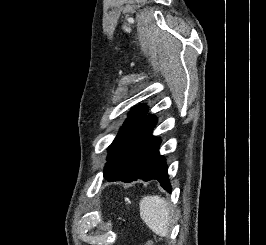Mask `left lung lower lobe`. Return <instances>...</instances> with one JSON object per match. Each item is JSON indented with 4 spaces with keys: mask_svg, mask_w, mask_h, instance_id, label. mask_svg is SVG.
I'll return each instance as SVG.
<instances>
[{
    "mask_svg": "<svg viewBox=\"0 0 266 245\" xmlns=\"http://www.w3.org/2000/svg\"><path fill=\"white\" fill-rule=\"evenodd\" d=\"M160 140L153 137L149 132L142 140L136 159L127 173L111 178H106L108 181H124L131 182L132 180L142 179L149 181L156 179L161 186L171 191V185L167 175V165L163 156L159 154Z\"/></svg>",
    "mask_w": 266,
    "mask_h": 245,
    "instance_id": "0a47b994",
    "label": "left lung lower lobe"
}]
</instances>
